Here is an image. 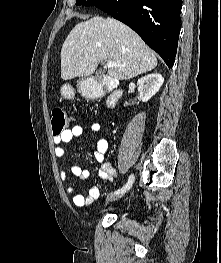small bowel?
Masks as SVG:
<instances>
[{
  "mask_svg": "<svg viewBox=\"0 0 221 263\" xmlns=\"http://www.w3.org/2000/svg\"><path fill=\"white\" fill-rule=\"evenodd\" d=\"M92 133L99 135L102 133V124L93 123L90 126ZM83 128L79 125H75L65 130L60 136L53 138L55 144L54 155L57 158H63L65 156V149L62 145L70 143L74 138L82 135ZM108 149V143L105 139L101 138L97 140L95 146L92 149L95 160L100 164L98 176L102 179L113 181L117 177V172L110 162L105 161V154ZM73 175L80 179H86L89 176V170L81 167L80 165H73L71 167ZM60 179L66 182L65 190L67 194L72 195L73 203L77 207H85L91 205L100 196V188L98 185L90 186L87 194H80L77 192L75 185L68 183L69 174L65 170L60 171Z\"/></svg>",
  "mask_w": 221,
  "mask_h": 263,
  "instance_id": "small-bowel-1",
  "label": "small bowel"
}]
</instances>
